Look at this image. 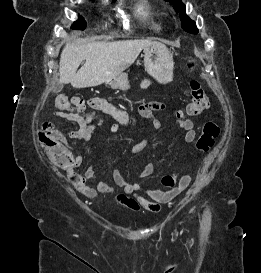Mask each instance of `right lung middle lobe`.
Here are the masks:
<instances>
[{"mask_svg":"<svg viewBox=\"0 0 261 273\" xmlns=\"http://www.w3.org/2000/svg\"><path fill=\"white\" fill-rule=\"evenodd\" d=\"M85 27H86V22L81 17H79V20L74 22L73 24V28L84 29Z\"/></svg>","mask_w":261,"mask_h":273,"instance_id":"obj_1","label":"right lung middle lobe"}]
</instances>
